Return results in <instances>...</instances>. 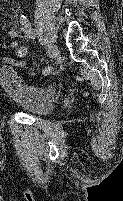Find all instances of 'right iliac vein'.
Segmentation results:
<instances>
[{
	"label": "right iliac vein",
	"mask_w": 123,
	"mask_h": 201,
	"mask_svg": "<svg viewBox=\"0 0 123 201\" xmlns=\"http://www.w3.org/2000/svg\"><path fill=\"white\" fill-rule=\"evenodd\" d=\"M47 53H48V56L50 59H54L58 54V49H57L56 45L49 42L47 44Z\"/></svg>",
	"instance_id": "1"
}]
</instances>
